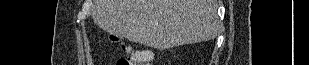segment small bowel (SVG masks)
Wrapping results in <instances>:
<instances>
[{"label":"small bowel","mask_w":309,"mask_h":65,"mask_svg":"<svg viewBox=\"0 0 309 65\" xmlns=\"http://www.w3.org/2000/svg\"><path fill=\"white\" fill-rule=\"evenodd\" d=\"M151 58H152V55L150 56L149 59H146L143 63H144V64H147V63L151 60Z\"/></svg>","instance_id":"obj_1"}]
</instances>
